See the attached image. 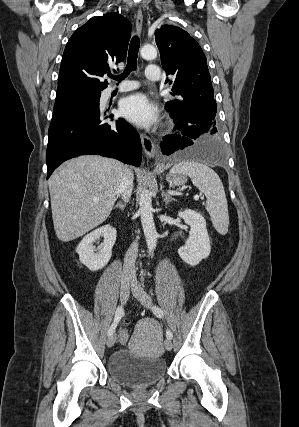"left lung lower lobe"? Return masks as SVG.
Listing matches in <instances>:
<instances>
[{
    "label": "left lung lower lobe",
    "mask_w": 299,
    "mask_h": 427,
    "mask_svg": "<svg viewBox=\"0 0 299 427\" xmlns=\"http://www.w3.org/2000/svg\"><path fill=\"white\" fill-rule=\"evenodd\" d=\"M178 134L164 137L160 144L164 155L177 154L211 163H224L221 132L215 126L212 109L203 104L179 105L170 112Z\"/></svg>",
    "instance_id": "obj_1"
}]
</instances>
